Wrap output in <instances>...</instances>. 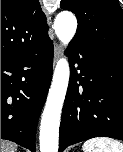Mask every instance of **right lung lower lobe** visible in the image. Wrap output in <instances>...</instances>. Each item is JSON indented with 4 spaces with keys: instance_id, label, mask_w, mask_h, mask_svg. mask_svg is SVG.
Wrapping results in <instances>:
<instances>
[{
    "instance_id": "obj_1",
    "label": "right lung lower lobe",
    "mask_w": 123,
    "mask_h": 152,
    "mask_svg": "<svg viewBox=\"0 0 123 152\" xmlns=\"http://www.w3.org/2000/svg\"><path fill=\"white\" fill-rule=\"evenodd\" d=\"M53 69L49 36L36 48L1 58V139L36 151L35 137Z\"/></svg>"
}]
</instances>
